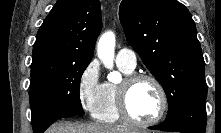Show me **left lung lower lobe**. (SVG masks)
<instances>
[{
	"instance_id": "obj_1",
	"label": "left lung lower lobe",
	"mask_w": 221,
	"mask_h": 133,
	"mask_svg": "<svg viewBox=\"0 0 221 133\" xmlns=\"http://www.w3.org/2000/svg\"><path fill=\"white\" fill-rule=\"evenodd\" d=\"M149 129L175 131L181 133H205L206 108L205 100H196L185 105L175 115L163 123L151 126Z\"/></svg>"
}]
</instances>
